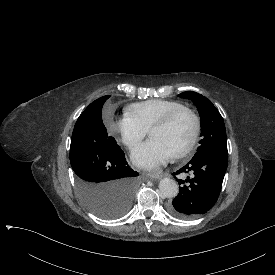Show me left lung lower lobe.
Masks as SVG:
<instances>
[{"label": "left lung lower lobe", "mask_w": 275, "mask_h": 275, "mask_svg": "<svg viewBox=\"0 0 275 275\" xmlns=\"http://www.w3.org/2000/svg\"><path fill=\"white\" fill-rule=\"evenodd\" d=\"M228 153L225 150L206 152L192 160L173 175L189 173L185 181L178 180L180 192L168 206L175 217L187 219L206 213L216 203L227 169Z\"/></svg>", "instance_id": "obj_1"}]
</instances>
